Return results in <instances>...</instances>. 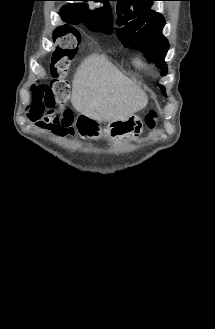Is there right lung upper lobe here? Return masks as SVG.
Masks as SVG:
<instances>
[{"label":"right lung upper lobe","mask_w":215,"mask_h":329,"mask_svg":"<svg viewBox=\"0 0 215 329\" xmlns=\"http://www.w3.org/2000/svg\"><path fill=\"white\" fill-rule=\"evenodd\" d=\"M73 1H100L106 2L103 8L96 9L94 11H89L88 6L84 3H72L64 6L61 9V16L64 21L70 22L75 19V17L81 18L84 23L91 24L94 28L99 31L102 30L105 33H110L112 31V15L111 9L108 4L109 0H73ZM66 28L70 26L66 25Z\"/></svg>","instance_id":"right-lung-upper-lobe-1"}]
</instances>
